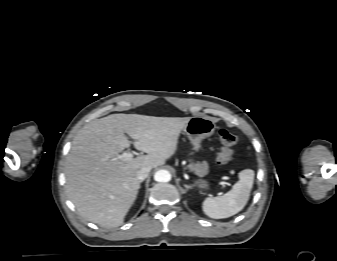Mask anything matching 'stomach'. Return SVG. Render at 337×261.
Here are the masks:
<instances>
[{
  "label": "stomach",
  "instance_id": "stomach-1",
  "mask_svg": "<svg viewBox=\"0 0 337 261\" xmlns=\"http://www.w3.org/2000/svg\"><path fill=\"white\" fill-rule=\"evenodd\" d=\"M215 130V123L209 117L194 116L184 128V132L194 150L198 151L201 148V142L203 139L211 136ZM199 179L195 180L194 185L199 189L208 191L210 189V183L207 179H204L205 174H198Z\"/></svg>",
  "mask_w": 337,
  "mask_h": 261
}]
</instances>
